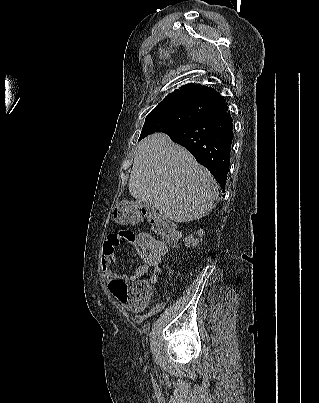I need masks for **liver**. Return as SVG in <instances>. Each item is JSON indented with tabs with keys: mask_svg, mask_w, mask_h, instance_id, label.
<instances>
[{
	"mask_svg": "<svg viewBox=\"0 0 319 403\" xmlns=\"http://www.w3.org/2000/svg\"><path fill=\"white\" fill-rule=\"evenodd\" d=\"M128 186L132 197L174 222L208 215L219 196L211 173L164 133L139 142Z\"/></svg>",
	"mask_w": 319,
	"mask_h": 403,
	"instance_id": "6515ba94",
	"label": "liver"
}]
</instances>
